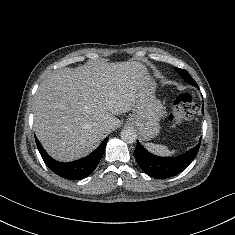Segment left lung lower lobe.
Returning a JSON list of instances; mask_svg holds the SVG:
<instances>
[{
	"label": "left lung lower lobe",
	"instance_id": "1",
	"mask_svg": "<svg viewBox=\"0 0 235 235\" xmlns=\"http://www.w3.org/2000/svg\"><path fill=\"white\" fill-rule=\"evenodd\" d=\"M202 112L204 113V106ZM200 144L201 139L197 146L183 155L164 158L149 153L138 141L134 151V157L146 174L154 178L165 179L175 176L186 169L197 155Z\"/></svg>",
	"mask_w": 235,
	"mask_h": 235
}]
</instances>
